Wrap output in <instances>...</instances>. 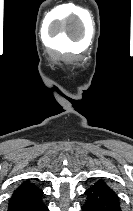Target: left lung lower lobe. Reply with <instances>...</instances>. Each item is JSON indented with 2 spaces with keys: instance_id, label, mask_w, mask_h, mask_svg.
Wrapping results in <instances>:
<instances>
[{
  "instance_id": "left-lung-lower-lobe-1",
  "label": "left lung lower lobe",
  "mask_w": 133,
  "mask_h": 211,
  "mask_svg": "<svg viewBox=\"0 0 133 211\" xmlns=\"http://www.w3.org/2000/svg\"><path fill=\"white\" fill-rule=\"evenodd\" d=\"M83 211H121L117 194L107 188L93 186L85 191Z\"/></svg>"
}]
</instances>
